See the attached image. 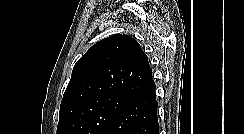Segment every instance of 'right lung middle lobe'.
Wrapping results in <instances>:
<instances>
[{
  "label": "right lung middle lobe",
  "instance_id": "right-lung-middle-lobe-1",
  "mask_svg": "<svg viewBox=\"0 0 244 134\" xmlns=\"http://www.w3.org/2000/svg\"><path fill=\"white\" fill-rule=\"evenodd\" d=\"M131 100L110 96L80 104L59 119L57 134H101Z\"/></svg>",
  "mask_w": 244,
  "mask_h": 134
}]
</instances>
